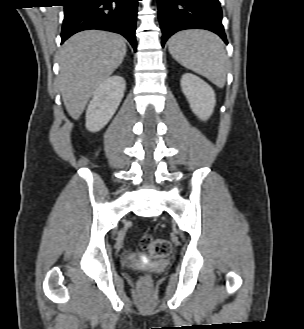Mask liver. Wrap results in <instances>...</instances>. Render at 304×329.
Returning <instances> with one entry per match:
<instances>
[{
  "instance_id": "6515ba94",
  "label": "liver",
  "mask_w": 304,
  "mask_h": 329,
  "mask_svg": "<svg viewBox=\"0 0 304 329\" xmlns=\"http://www.w3.org/2000/svg\"><path fill=\"white\" fill-rule=\"evenodd\" d=\"M126 51L123 37L99 30L79 32L64 43L59 54V83L73 119L80 117L97 87L120 66Z\"/></svg>"
}]
</instances>
